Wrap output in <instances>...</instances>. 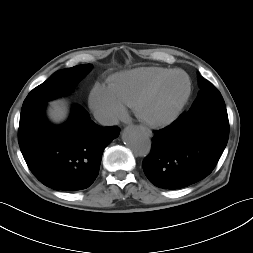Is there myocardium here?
Masks as SVG:
<instances>
[{
    "label": "myocardium",
    "mask_w": 253,
    "mask_h": 253,
    "mask_svg": "<svg viewBox=\"0 0 253 253\" xmlns=\"http://www.w3.org/2000/svg\"><path fill=\"white\" fill-rule=\"evenodd\" d=\"M181 74L186 78L187 81V90L182 99L178 102L176 107L172 110L170 114L162 118L152 117L147 113V105L150 99L155 95V93L173 76ZM192 91V83L189 75L183 70H173L167 75L163 76L152 84L139 98L135 106L137 116L145 123L155 126V127H164L173 123L182 113L185 105L187 104Z\"/></svg>",
    "instance_id": "myocardium-1"
}]
</instances>
